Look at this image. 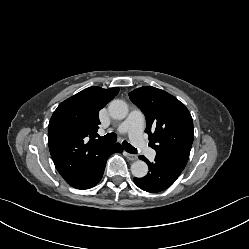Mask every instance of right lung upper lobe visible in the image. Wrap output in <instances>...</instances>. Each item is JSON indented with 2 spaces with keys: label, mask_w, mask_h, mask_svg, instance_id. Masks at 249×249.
Instances as JSON below:
<instances>
[{
  "label": "right lung upper lobe",
  "mask_w": 249,
  "mask_h": 249,
  "mask_svg": "<svg viewBox=\"0 0 249 249\" xmlns=\"http://www.w3.org/2000/svg\"><path fill=\"white\" fill-rule=\"evenodd\" d=\"M119 88L89 87L62 102L48 126V145L56 169L72 185L91 163L97 151L108 145L98 136L99 111Z\"/></svg>",
  "instance_id": "obj_1"
}]
</instances>
